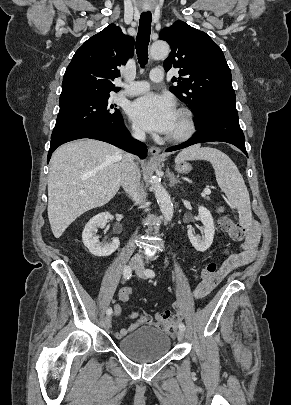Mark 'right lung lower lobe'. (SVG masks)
I'll use <instances>...</instances> for the list:
<instances>
[{
  "instance_id": "1",
  "label": "right lung lower lobe",
  "mask_w": 291,
  "mask_h": 405,
  "mask_svg": "<svg viewBox=\"0 0 291 405\" xmlns=\"http://www.w3.org/2000/svg\"><path fill=\"white\" fill-rule=\"evenodd\" d=\"M81 138H91L104 141L119 148L138 155L144 159L147 155L146 145L130 138V133L124 125L123 119L108 127H84L61 134L51 139L47 162L52 152L60 145Z\"/></svg>"
}]
</instances>
